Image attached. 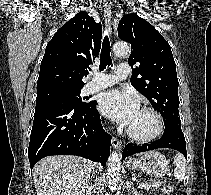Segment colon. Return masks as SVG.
<instances>
[{
	"instance_id": "1",
	"label": "colon",
	"mask_w": 211,
	"mask_h": 195,
	"mask_svg": "<svg viewBox=\"0 0 211 195\" xmlns=\"http://www.w3.org/2000/svg\"><path fill=\"white\" fill-rule=\"evenodd\" d=\"M163 191H164L165 195H171L173 189H172L171 186H165V187L163 188Z\"/></svg>"
}]
</instances>
